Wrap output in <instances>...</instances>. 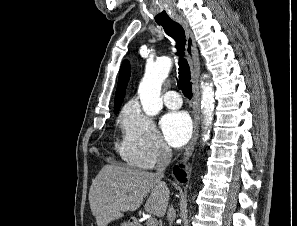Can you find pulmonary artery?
Wrapping results in <instances>:
<instances>
[{
	"label": "pulmonary artery",
	"mask_w": 297,
	"mask_h": 226,
	"mask_svg": "<svg viewBox=\"0 0 297 226\" xmlns=\"http://www.w3.org/2000/svg\"><path fill=\"white\" fill-rule=\"evenodd\" d=\"M164 103L170 109H178L182 105L181 98L176 91H167L164 95Z\"/></svg>",
	"instance_id": "1"
}]
</instances>
